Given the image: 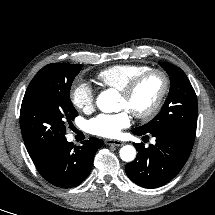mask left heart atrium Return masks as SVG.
I'll return each mask as SVG.
<instances>
[{
    "mask_svg": "<svg viewBox=\"0 0 215 215\" xmlns=\"http://www.w3.org/2000/svg\"><path fill=\"white\" fill-rule=\"evenodd\" d=\"M131 124V114L128 109L114 114H99L88 123L89 131L100 137L116 138L122 129Z\"/></svg>",
    "mask_w": 215,
    "mask_h": 215,
    "instance_id": "obj_1",
    "label": "left heart atrium"
}]
</instances>
